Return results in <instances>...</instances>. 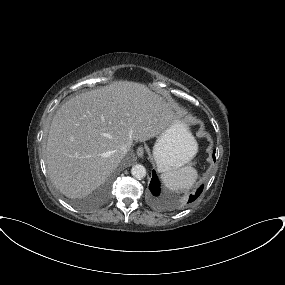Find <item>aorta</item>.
<instances>
[{
	"mask_svg": "<svg viewBox=\"0 0 285 285\" xmlns=\"http://www.w3.org/2000/svg\"><path fill=\"white\" fill-rule=\"evenodd\" d=\"M131 174L136 179H143L146 176V168L141 164H136L132 166Z\"/></svg>",
	"mask_w": 285,
	"mask_h": 285,
	"instance_id": "762f6f07",
	"label": "aorta"
}]
</instances>
